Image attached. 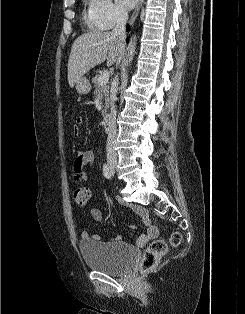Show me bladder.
<instances>
[{"label":"bladder","mask_w":245,"mask_h":314,"mask_svg":"<svg viewBox=\"0 0 245 314\" xmlns=\"http://www.w3.org/2000/svg\"><path fill=\"white\" fill-rule=\"evenodd\" d=\"M84 263L97 271L120 274L130 268L137 251L121 242H98L86 240L79 244Z\"/></svg>","instance_id":"bladder-1"}]
</instances>
